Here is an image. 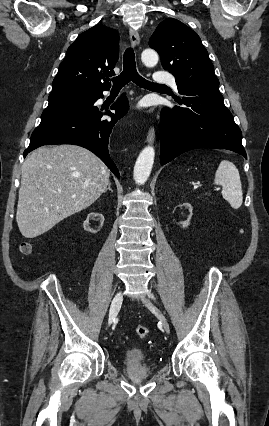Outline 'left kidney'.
Instances as JSON below:
<instances>
[{
  "label": "left kidney",
  "mask_w": 269,
  "mask_h": 426,
  "mask_svg": "<svg viewBox=\"0 0 269 426\" xmlns=\"http://www.w3.org/2000/svg\"><path fill=\"white\" fill-rule=\"evenodd\" d=\"M177 207H184L185 209H188L190 214H189L187 220L179 222V224L183 225L184 227H187L189 225V222H190V219H191V216H192V206H191L190 203L185 202L183 204H179Z\"/></svg>",
  "instance_id": "obj_1"
}]
</instances>
